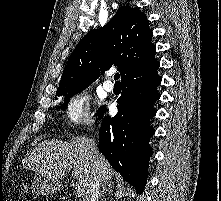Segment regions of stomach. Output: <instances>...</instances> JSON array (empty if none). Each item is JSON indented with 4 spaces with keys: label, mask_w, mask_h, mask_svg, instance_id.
<instances>
[{
    "label": "stomach",
    "mask_w": 221,
    "mask_h": 201,
    "mask_svg": "<svg viewBox=\"0 0 221 201\" xmlns=\"http://www.w3.org/2000/svg\"><path fill=\"white\" fill-rule=\"evenodd\" d=\"M32 192L37 195L49 194L55 190V185L43 177H36L32 182Z\"/></svg>",
    "instance_id": "1"
}]
</instances>
